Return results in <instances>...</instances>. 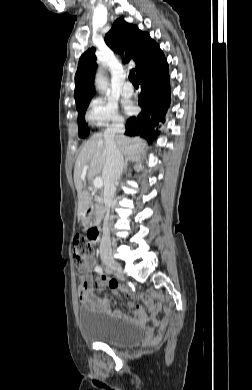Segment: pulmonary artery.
Masks as SVG:
<instances>
[{"label": "pulmonary artery", "instance_id": "1", "mask_svg": "<svg viewBox=\"0 0 252 390\" xmlns=\"http://www.w3.org/2000/svg\"><path fill=\"white\" fill-rule=\"evenodd\" d=\"M122 94L125 97H130L133 95V86L130 82H126L122 87Z\"/></svg>", "mask_w": 252, "mask_h": 390}]
</instances>
